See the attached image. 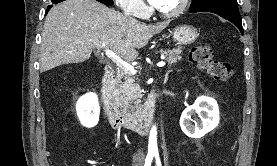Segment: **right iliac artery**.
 Here are the masks:
<instances>
[{
	"label": "right iliac artery",
	"mask_w": 277,
	"mask_h": 166,
	"mask_svg": "<svg viewBox=\"0 0 277 166\" xmlns=\"http://www.w3.org/2000/svg\"><path fill=\"white\" fill-rule=\"evenodd\" d=\"M153 156H154L153 154H148L147 155L144 166H151Z\"/></svg>",
	"instance_id": "1"
}]
</instances>
